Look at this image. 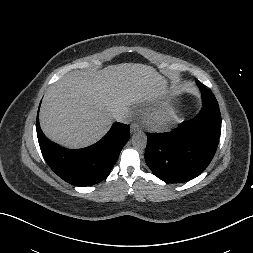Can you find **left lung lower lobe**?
<instances>
[{
  "label": "left lung lower lobe",
  "instance_id": "0a47b994",
  "mask_svg": "<svg viewBox=\"0 0 253 253\" xmlns=\"http://www.w3.org/2000/svg\"><path fill=\"white\" fill-rule=\"evenodd\" d=\"M203 108L192 120L168 133H148L145 161L167 183H182L200 175L210 164L221 133V114L213 93L199 81Z\"/></svg>",
  "mask_w": 253,
  "mask_h": 253
}]
</instances>
